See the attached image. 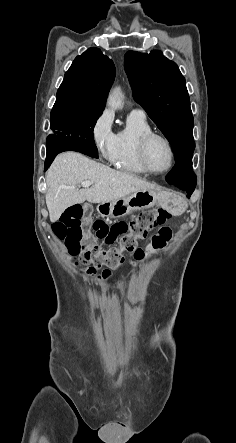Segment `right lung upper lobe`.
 <instances>
[{
	"label": "right lung upper lobe",
	"instance_id": "cb5924a9",
	"mask_svg": "<svg viewBox=\"0 0 236 443\" xmlns=\"http://www.w3.org/2000/svg\"><path fill=\"white\" fill-rule=\"evenodd\" d=\"M115 74L111 59L98 48L88 49L75 58L65 73L54 106L103 111Z\"/></svg>",
	"mask_w": 236,
	"mask_h": 443
}]
</instances>
